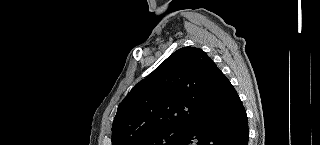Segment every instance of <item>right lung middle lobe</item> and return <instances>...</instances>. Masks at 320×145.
<instances>
[{
  "label": "right lung middle lobe",
  "mask_w": 320,
  "mask_h": 145,
  "mask_svg": "<svg viewBox=\"0 0 320 145\" xmlns=\"http://www.w3.org/2000/svg\"><path fill=\"white\" fill-rule=\"evenodd\" d=\"M184 128H167L152 132L131 145H175L184 134Z\"/></svg>",
  "instance_id": "dd1d6c3e"
}]
</instances>
